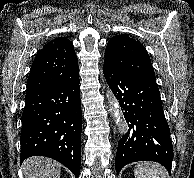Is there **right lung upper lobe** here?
Returning a JSON list of instances; mask_svg holds the SVG:
<instances>
[{"label":"right lung upper lobe","instance_id":"obj_1","mask_svg":"<svg viewBox=\"0 0 194 178\" xmlns=\"http://www.w3.org/2000/svg\"><path fill=\"white\" fill-rule=\"evenodd\" d=\"M77 74L78 61L72 42L58 37L37 52L27 80V91L68 81Z\"/></svg>","mask_w":194,"mask_h":178}]
</instances>
